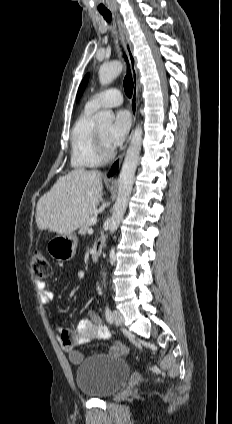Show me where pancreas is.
<instances>
[{
    "label": "pancreas",
    "instance_id": "1",
    "mask_svg": "<svg viewBox=\"0 0 232 424\" xmlns=\"http://www.w3.org/2000/svg\"><path fill=\"white\" fill-rule=\"evenodd\" d=\"M91 218H94V216L91 215V217L80 227L79 233L81 235H85L89 227L91 226V223H90Z\"/></svg>",
    "mask_w": 232,
    "mask_h": 424
}]
</instances>
